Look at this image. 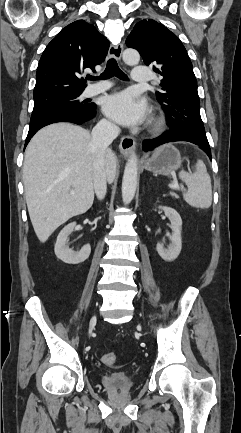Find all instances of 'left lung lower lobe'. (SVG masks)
Returning a JSON list of instances; mask_svg holds the SVG:
<instances>
[{"label":"left lung lower lobe","instance_id":"0a47b994","mask_svg":"<svg viewBox=\"0 0 241 433\" xmlns=\"http://www.w3.org/2000/svg\"><path fill=\"white\" fill-rule=\"evenodd\" d=\"M176 141H186L198 145L207 153L208 157L211 159V150L208 142H204L188 133L175 130H170L154 139L144 140L143 150L149 151L164 143Z\"/></svg>","mask_w":241,"mask_h":433}]
</instances>
